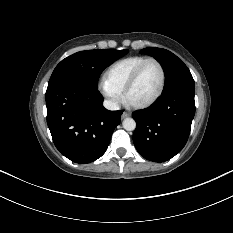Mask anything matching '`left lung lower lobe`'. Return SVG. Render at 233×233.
<instances>
[{"instance_id": "1", "label": "left lung lower lobe", "mask_w": 233, "mask_h": 233, "mask_svg": "<svg viewBox=\"0 0 233 233\" xmlns=\"http://www.w3.org/2000/svg\"><path fill=\"white\" fill-rule=\"evenodd\" d=\"M194 95V87H178L163 92L153 106L133 113V142L142 157L164 162L183 149L195 114Z\"/></svg>"}]
</instances>
